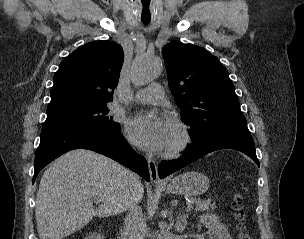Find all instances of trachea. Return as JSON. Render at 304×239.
<instances>
[{
  "mask_svg": "<svg viewBox=\"0 0 304 239\" xmlns=\"http://www.w3.org/2000/svg\"><path fill=\"white\" fill-rule=\"evenodd\" d=\"M152 0H140V21L141 23L147 25L153 18V13L151 11Z\"/></svg>",
  "mask_w": 304,
  "mask_h": 239,
  "instance_id": "3493384b",
  "label": "trachea"
}]
</instances>
